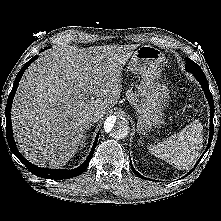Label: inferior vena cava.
<instances>
[{
  "label": "inferior vena cava",
  "instance_id": "inferior-vena-cava-1",
  "mask_svg": "<svg viewBox=\"0 0 221 221\" xmlns=\"http://www.w3.org/2000/svg\"><path fill=\"white\" fill-rule=\"evenodd\" d=\"M104 114L105 113L102 111L92 112L88 116V121L96 123L99 121L100 118H102L104 116Z\"/></svg>",
  "mask_w": 221,
  "mask_h": 221
}]
</instances>
